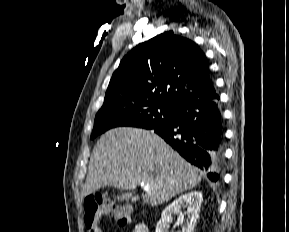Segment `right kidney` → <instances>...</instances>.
Wrapping results in <instances>:
<instances>
[{
    "label": "right kidney",
    "mask_w": 289,
    "mask_h": 232,
    "mask_svg": "<svg viewBox=\"0 0 289 232\" xmlns=\"http://www.w3.org/2000/svg\"><path fill=\"white\" fill-rule=\"evenodd\" d=\"M203 201V195L199 191H192L180 196L168 205L161 214V219L156 225L155 232H168L169 223L172 221L173 214H181V209L185 208L187 220L182 227L181 232H193L199 217L200 206Z\"/></svg>",
    "instance_id": "1"
}]
</instances>
